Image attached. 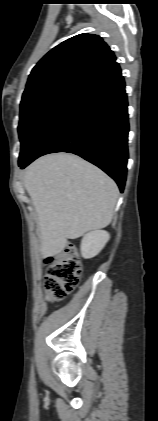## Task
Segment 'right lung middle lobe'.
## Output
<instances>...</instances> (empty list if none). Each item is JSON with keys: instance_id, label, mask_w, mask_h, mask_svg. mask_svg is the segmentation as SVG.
Returning a JSON list of instances; mask_svg holds the SVG:
<instances>
[{"instance_id": "1", "label": "right lung middle lobe", "mask_w": 158, "mask_h": 421, "mask_svg": "<svg viewBox=\"0 0 158 421\" xmlns=\"http://www.w3.org/2000/svg\"><path fill=\"white\" fill-rule=\"evenodd\" d=\"M81 85L75 82H60L22 97L18 126L21 142L19 163L28 157L41 131Z\"/></svg>"}]
</instances>
